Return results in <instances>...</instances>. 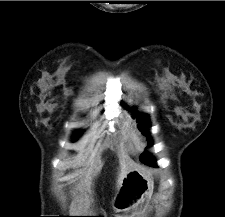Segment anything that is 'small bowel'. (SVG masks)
Segmentation results:
<instances>
[{
  "label": "small bowel",
  "mask_w": 225,
  "mask_h": 217,
  "mask_svg": "<svg viewBox=\"0 0 225 217\" xmlns=\"http://www.w3.org/2000/svg\"><path fill=\"white\" fill-rule=\"evenodd\" d=\"M141 193L142 192L137 189L130 191L126 196L122 198L121 201L122 208H126L133 202L137 201L140 198Z\"/></svg>",
  "instance_id": "small-bowel-1"
}]
</instances>
